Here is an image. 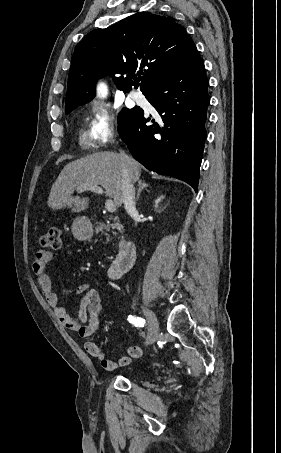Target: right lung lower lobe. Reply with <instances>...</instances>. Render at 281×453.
<instances>
[{
	"instance_id": "98d812e1",
	"label": "right lung lower lobe",
	"mask_w": 281,
	"mask_h": 453,
	"mask_svg": "<svg viewBox=\"0 0 281 453\" xmlns=\"http://www.w3.org/2000/svg\"><path fill=\"white\" fill-rule=\"evenodd\" d=\"M208 79L197 53L174 73L143 94L161 116L147 125L140 107L124 108L118 132L133 157L147 169L190 184L197 191L206 139Z\"/></svg>"
}]
</instances>
